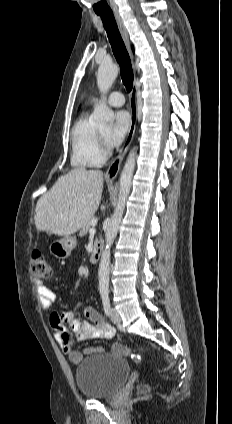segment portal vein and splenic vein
<instances>
[{
  "label": "portal vein and splenic vein",
  "mask_w": 232,
  "mask_h": 424,
  "mask_svg": "<svg viewBox=\"0 0 232 424\" xmlns=\"http://www.w3.org/2000/svg\"><path fill=\"white\" fill-rule=\"evenodd\" d=\"M97 225V220L96 219H92L91 220V228L89 229V231L91 232V233H93V232H95V226Z\"/></svg>",
  "instance_id": "1"
}]
</instances>
